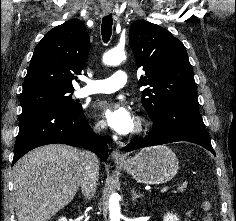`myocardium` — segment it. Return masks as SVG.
I'll return each instance as SVG.
<instances>
[{
  "label": "myocardium",
  "instance_id": "f54148a6",
  "mask_svg": "<svg viewBox=\"0 0 236 221\" xmlns=\"http://www.w3.org/2000/svg\"><path fill=\"white\" fill-rule=\"evenodd\" d=\"M147 124L142 117H136L134 127L132 130V137H138L146 131Z\"/></svg>",
  "mask_w": 236,
  "mask_h": 221
}]
</instances>
